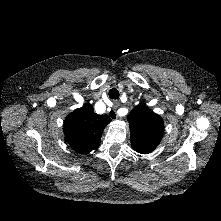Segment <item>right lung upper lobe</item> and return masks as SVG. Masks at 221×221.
I'll return each instance as SVG.
<instances>
[{
    "label": "right lung upper lobe",
    "mask_w": 221,
    "mask_h": 221,
    "mask_svg": "<svg viewBox=\"0 0 221 221\" xmlns=\"http://www.w3.org/2000/svg\"><path fill=\"white\" fill-rule=\"evenodd\" d=\"M110 122L106 115L94 113L90 104L75 109L64 122L65 141L80 154H87L99 147L101 135Z\"/></svg>",
    "instance_id": "cb5924a9"
}]
</instances>
